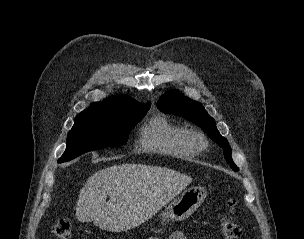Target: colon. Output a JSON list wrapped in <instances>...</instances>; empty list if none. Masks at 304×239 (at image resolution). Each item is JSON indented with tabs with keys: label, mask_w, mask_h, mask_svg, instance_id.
I'll use <instances>...</instances> for the list:
<instances>
[{
	"label": "colon",
	"mask_w": 304,
	"mask_h": 239,
	"mask_svg": "<svg viewBox=\"0 0 304 239\" xmlns=\"http://www.w3.org/2000/svg\"><path fill=\"white\" fill-rule=\"evenodd\" d=\"M236 200H229V207L233 211L236 207ZM219 233L222 239H237L241 235V227L231 217L226 216L221 219ZM51 234L55 239H71L72 228L71 223L66 218H61L51 227Z\"/></svg>",
	"instance_id": "1"
}]
</instances>
